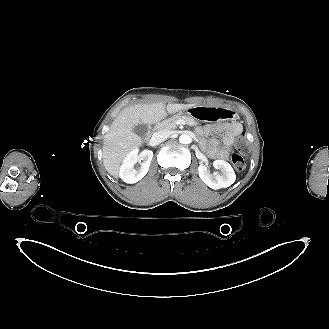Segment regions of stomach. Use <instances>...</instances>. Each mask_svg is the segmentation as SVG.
<instances>
[{"label": "stomach", "mask_w": 329, "mask_h": 329, "mask_svg": "<svg viewBox=\"0 0 329 329\" xmlns=\"http://www.w3.org/2000/svg\"><path fill=\"white\" fill-rule=\"evenodd\" d=\"M175 115H186L195 120H200L204 122H220L223 120H233L235 113L231 109H227L223 106L213 107V106H194L186 110H181L175 113Z\"/></svg>", "instance_id": "0dacf381"}]
</instances>
